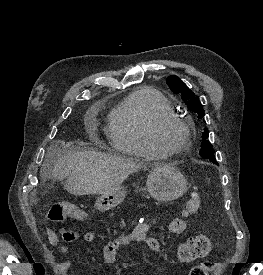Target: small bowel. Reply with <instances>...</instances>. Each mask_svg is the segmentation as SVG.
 Returning <instances> with one entry per match:
<instances>
[{"label":"small bowel","instance_id":"c3829d8e","mask_svg":"<svg viewBox=\"0 0 263 275\" xmlns=\"http://www.w3.org/2000/svg\"><path fill=\"white\" fill-rule=\"evenodd\" d=\"M187 227L186 221L181 218H174L168 225V230L171 233H182ZM150 223L140 222L133 231L126 235H120L110 240L103 248V261L105 263H115L117 261L119 252L130 244H145L150 250L154 252L160 251L159 241L149 236ZM45 234L51 246L56 248L66 258L58 263V270L60 273H66L72 266V261L68 258L69 249L64 243H72L80 237L86 242H93L97 239L98 234L95 231H87L82 236L76 231L64 230L59 236L52 228L46 227Z\"/></svg>","mask_w":263,"mask_h":275}]
</instances>
